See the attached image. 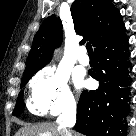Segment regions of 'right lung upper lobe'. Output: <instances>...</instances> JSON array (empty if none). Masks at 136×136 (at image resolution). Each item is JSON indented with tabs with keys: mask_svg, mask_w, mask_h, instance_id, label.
I'll return each instance as SVG.
<instances>
[{
	"mask_svg": "<svg viewBox=\"0 0 136 136\" xmlns=\"http://www.w3.org/2000/svg\"><path fill=\"white\" fill-rule=\"evenodd\" d=\"M71 15L76 33L83 35L84 40L90 41L95 48L124 34L125 26L112 0H75ZM61 42L62 23L51 15L44 20L34 37L23 78L44 67Z\"/></svg>",
	"mask_w": 136,
	"mask_h": 136,
	"instance_id": "obj_1",
	"label": "right lung upper lobe"
}]
</instances>
